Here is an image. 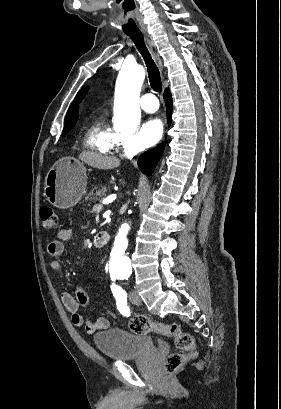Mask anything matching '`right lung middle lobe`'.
I'll list each match as a JSON object with an SVG mask.
<instances>
[{
  "mask_svg": "<svg viewBox=\"0 0 281 409\" xmlns=\"http://www.w3.org/2000/svg\"><path fill=\"white\" fill-rule=\"evenodd\" d=\"M73 127H74V125H66V126H64L63 136H65Z\"/></svg>",
  "mask_w": 281,
  "mask_h": 409,
  "instance_id": "right-lung-middle-lobe-1",
  "label": "right lung middle lobe"
}]
</instances>
